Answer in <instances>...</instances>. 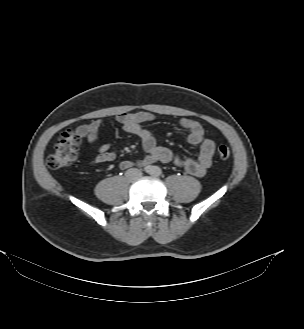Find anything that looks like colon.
Wrapping results in <instances>:
<instances>
[{
	"instance_id": "5ec220e1",
	"label": "colon",
	"mask_w": 304,
	"mask_h": 329,
	"mask_svg": "<svg viewBox=\"0 0 304 329\" xmlns=\"http://www.w3.org/2000/svg\"><path fill=\"white\" fill-rule=\"evenodd\" d=\"M80 137L71 130L64 132L55 144L52 153L47 158V165L51 169H60L70 166L77 158ZM218 155L226 160L230 157L231 151L228 146L218 147Z\"/></svg>"
}]
</instances>
